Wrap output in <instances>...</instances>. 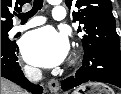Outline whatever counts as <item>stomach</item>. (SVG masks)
<instances>
[{"mask_svg":"<svg viewBox=\"0 0 121 94\" xmlns=\"http://www.w3.org/2000/svg\"><path fill=\"white\" fill-rule=\"evenodd\" d=\"M72 94H115L107 85L102 83H87L77 88Z\"/></svg>","mask_w":121,"mask_h":94,"instance_id":"0dacf381","label":"stomach"}]
</instances>
